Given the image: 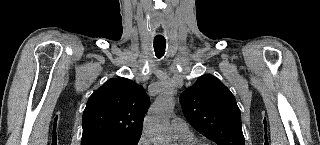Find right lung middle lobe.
I'll use <instances>...</instances> for the list:
<instances>
[{
	"label": "right lung middle lobe",
	"mask_w": 320,
	"mask_h": 145,
	"mask_svg": "<svg viewBox=\"0 0 320 145\" xmlns=\"http://www.w3.org/2000/svg\"><path fill=\"white\" fill-rule=\"evenodd\" d=\"M141 135H100L81 141V145H137Z\"/></svg>",
	"instance_id": "1"
}]
</instances>
